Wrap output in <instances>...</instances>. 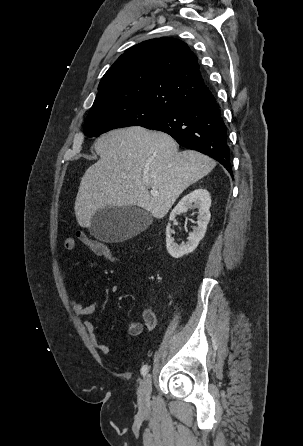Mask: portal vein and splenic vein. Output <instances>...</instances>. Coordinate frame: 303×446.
<instances>
[{
	"label": "portal vein and splenic vein",
	"instance_id": "obj_1",
	"mask_svg": "<svg viewBox=\"0 0 303 446\" xmlns=\"http://www.w3.org/2000/svg\"><path fill=\"white\" fill-rule=\"evenodd\" d=\"M145 182H147V180H145ZM151 194L158 195V191H156L155 189H151Z\"/></svg>",
	"mask_w": 303,
	"mask_h": 446
}]
</instances>
